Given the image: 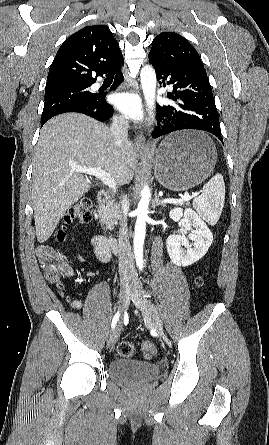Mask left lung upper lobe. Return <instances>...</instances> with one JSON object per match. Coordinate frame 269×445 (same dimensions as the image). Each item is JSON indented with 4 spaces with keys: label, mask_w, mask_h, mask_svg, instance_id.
Returning <instances> with one entry per match:
<instances>
[{
    "label": "left lung upper lobe",
    "mask_w": 269,
    "mask_h": 445,
    "mask_svg": "<svg viewBox=\"0 0 269 445\" xmlns=\"http://www.w3.org/2000/svg\"><path fill=\"white\" fill-rule=\"evenodd\" d=\"M149 59L172 67H203L198 52L181 35L162 32L152 41Z\"/></svg>",
    "instance_id": "obj_1"
}]
</instances>
